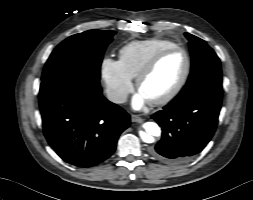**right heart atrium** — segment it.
<instances>
[{
	"mask_svg": "<svg viewBox=\"0 0 253 200\" xmlns=\"http://www.w3.org/2000/svg\"><path fill=\"white\" fill-rule=\"evenodd\" d=\"M100 75L109 99L122 104L132 90V78L124 71L119 60L105 57L100 65Z\"/></svg>",
	"mask_w": 253,
	"mask_h": 200,
	"instance_id": "1",
	"label": "right heart atrium"
}]
</instances>
